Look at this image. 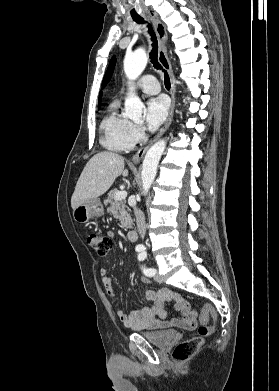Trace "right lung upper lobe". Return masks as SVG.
<instances>
[{"label": "right lung upper lobe", "mask_w": 279, "mask_h": 391, "mask_svg": "<svg viewBox=\"0 0 279 391\" xmlns=\"http://www.w3.org/2000/svg\"><path fill=\"white\" fill-rule=\"evenodd\" d=\"M101 96H102V95H101V93H100V96H99V98H101Z\"/></svg>", "instance_id": "1"}]
</instances>
